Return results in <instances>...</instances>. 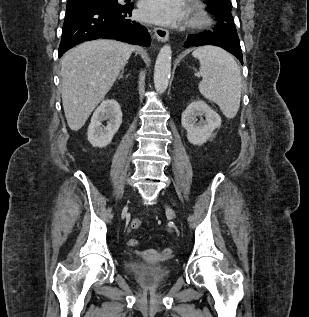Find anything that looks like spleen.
Returning a JSON list of instances; mask_svg holds the SVG:
<instances>
[{"mask_svg": "<svg viewBox=\"0 0 309 317\" xmlns=\"http://www.w3.org/2000/svg\"><path fill=\"white\" fill-rule=\"evenodd\" d=\"M200 62V93L216 103L227 118H234L240 107L242 78L234 58L221 48L198 47L192 53Z\"/></svg>", "mask_w": 309, "mask_h": 317, "instance_id": "1", "label": "spleen"}]
</instances>
